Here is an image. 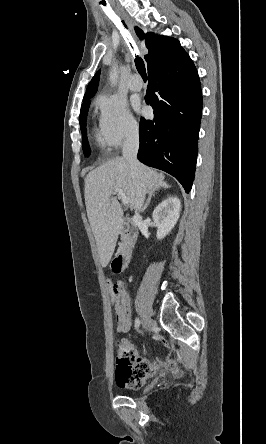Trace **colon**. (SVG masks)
Segmentation results:
<instances>
[{
	"instance_id": "1",
	"label": "colon",
	"mask_w": 266,
	"mask_h": 444,
	"mask_svg": "<svg viewBox=\"0 0 266 444\" xmlns=\"http://www.w3.org/2000/svg\"><path fill=\"white\" fill-rule=\"evenodd\" d=\"M111 302L114 308L118 307L124 292V285L121 281H115L111 284Z\"/></svg>"
}]
</instances>
